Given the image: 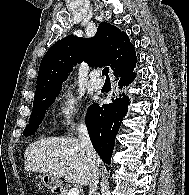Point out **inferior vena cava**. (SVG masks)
Wrapping results in <instances>:
<instances>
[{
  "instance_id": "602c4592",
  "label": "inferior vena cava",
  "mask_w": 189,
  "mask_h": 195,
  "mask_svg": "<svg viewBox=\"0 0 189 195\" xmlns=\"http://www.w3.org/2000/svg\"><path fill=\"white\" fill-rule=\"evenodd\" d=\"M78 137L82 145L85 146L89 160L92 164V179L89 183V195H97V187L99 183V172L98 167L95 165L94 158L96 157V152L93 148V145L90 141L87 127L84 123L78 125Z\"/></svg>"
}]
</instances>
